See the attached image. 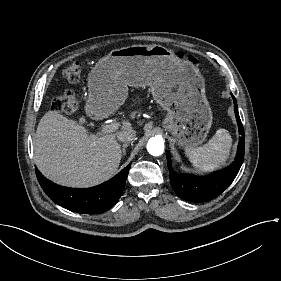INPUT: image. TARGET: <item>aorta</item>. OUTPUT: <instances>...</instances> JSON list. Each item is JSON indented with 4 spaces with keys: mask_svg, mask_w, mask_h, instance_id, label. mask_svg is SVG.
<instances>
[{
    "mask_svg": "<svg viewBox=\"0 0 281 281\" xmlns=\"http://www.w3.org/2000/svg\"><path fill=\"white\" fill-rule=\"evenodd\" d=\"M147 150L153 156H160L164 152V141L161 137H151L147 143Z\"/></svg>",
    "mask_w": 281,
    "mask_h": 281,
    "instance_id": "obj_1",
    "label": "aorta"
}]
</instances>
